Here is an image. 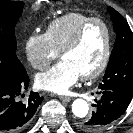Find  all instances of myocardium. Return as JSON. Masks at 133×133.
I'll list each match as a JSON object with an SVG mask.
<instances>
[{
  "mask_svg": "<svg viewBox=\"0 0 133 133\" xmlns=\"http://www.w3.org/2000/svg\"><path fill=\"white\" fill-rule=\"evenodd\" d=\"M93 24H99L104 28L106 33V44H105L102 60L97 66V68L92 72L81 76V78L85 81L94 80L98 78L105 71V69L109 64L111 52H112V31L108 23L100 18H90L79 27V29L74 34L72 39L60 51L61 57H63L64 54L75 49L82 41L86 30Z\"/></svg>",
  "mask_w": 133,
  "mask_h": 133,
  "instance_id": "1",
  "label": "myocardium"
}]
</instances>
